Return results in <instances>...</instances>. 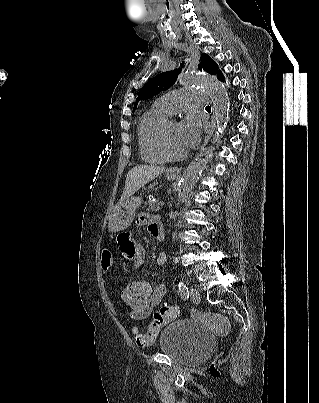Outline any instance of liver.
I'll return each mask as SVG.
<instances>
[{"label":"liver","mask_w":319,"mask_h":403,"mask_svg":"<svg viewBox=\"0 0 319 403\" xmlns=\"http://www.w3.org/2000/svg\"><path fill=\"white\" fill-rule=\"evenodd\" d=\"M164 171L165 167L154 165H139L132 168L127 174L119 204L125 202L147 182L155 179Z\"/></svg>","instance_id":"6515ba94"}]
</instances>
